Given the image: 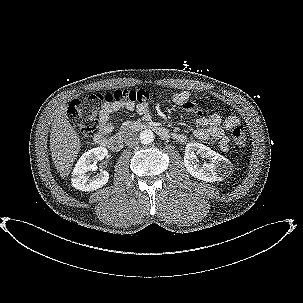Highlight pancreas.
Returning <instances> with one entry per match:
<instances>
[{
	"label": "pancreas",
	"instance_id": "pancreas-1",
	"mask_svg": "<svg viewBox=\"0 0 303 303\" xmlns=\"http://www.w3.org/2000/svg\"><path fill=\"white\" fill-rule=\"evenodd\" d=\"M133 124L130 121H126L123 126H122V130H127L129 127H131Z\"/></svg>",
	"mask_w": 303,
	"mask_h": 303
}]
</instances>
